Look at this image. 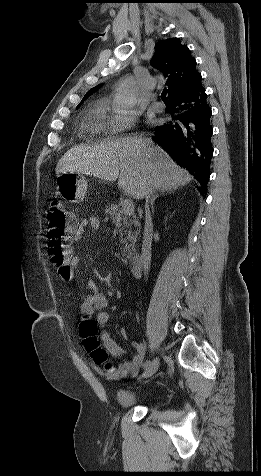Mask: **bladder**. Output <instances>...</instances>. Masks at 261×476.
I'll list each match as a JSON object with an SVG mask.
<instances>
[{
	"mask_svg": "<svg viewBox=\"0 0 261 476\" xmlns=\"http://www.w3.org/2000/svg\"><path fill=\"white\" fill-rule=\"evenodd\" d=\"M116 399L118 403L124 407H131L143 401H147L139 398L134 393L127 390H119L116 394Z\"/></svg>",
	"mask_w": 261,
	"mask_h": 476,
	"instance_id": "bladder-1",
	"label": "bladder"
}]
</instances>
